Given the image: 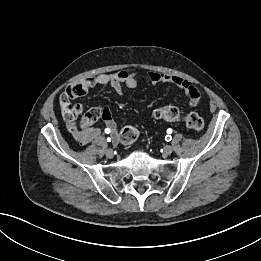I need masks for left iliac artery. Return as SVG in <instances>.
Segmentation results:
<instances>
[{"instance_id":"obj_1","label":"left iliac artery","mask_w":261,"mask_h":261,"mask_svg":"<svg viewBox=\"0 0 261 261\" xmlns=\"http://www.w3.org/2000/svg\"><path fill=\"white\" fill-rule=\"evenodd\" d=\"M167 133H168V134H171V133H172V129H171V128L167 129ZM165 140L168 141V142L171 141V140H172L171 135H167V136L165 137Z\"/></svg>"}]
</instances>
